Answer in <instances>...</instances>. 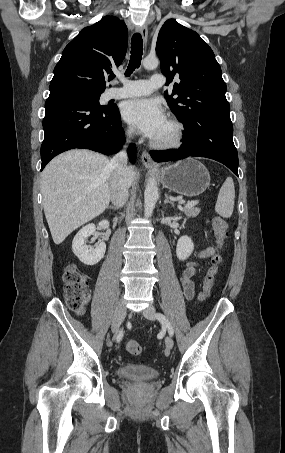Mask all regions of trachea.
<instances>
[{
    "label": "trachea",
    "mask_w": 285,
    "mask_h": 453,
    "mask_svg": "<svg viewBox=\"0 0 285 453\" xmlns=\"http://www.w3.org/2000/svg\"><path fill=\"white\" fill-rule=\"evenodd\" d=\"M142 54L143 40L139 33H135L131 39V57L125 73L126 76H130L136 68L140 67ZM112 78H114V76Z\"/></svg>",
    "instance_id": "3493384b"
}]
</instances>
